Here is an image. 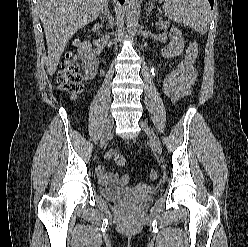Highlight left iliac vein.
Masks as SVG:
<instances>
[{"instance_id":"1","label":"left iliac vein","mask_w":248,"mask_h":247,"mask_svg":"<svg viewBox=\"0 0 248 247\" xmlns=\"http://www.w3.org/2000/svg\"><path fill=\"white\" fill-rule=\"evenodd\" d=\"M140 126L142 127L144 132L147 134L154 151L160 152L161 151V144H160L159 138L156 136V134L153 132V130L144 121L140 122Z\"/></svg>"}]
</instances>
